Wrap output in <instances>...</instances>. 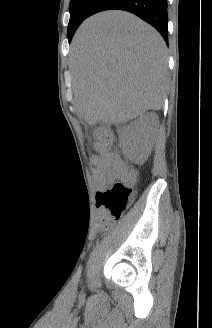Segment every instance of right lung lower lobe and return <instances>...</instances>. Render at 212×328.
<instances>
[{"label": "right lung lower lobe", "mask_w": 212, "mask_h": 328, "mask_svg": "<svg viewBox=\"0 0 212 328\" xmlns=\"http://www.w3.org/2000/svg\"><path fill=\"white\" fill-rule=\"evenodd\" d=\"M105 10H124L152 25L168 44L167 0H95L87 18Z\"/></svg>", "instance_id": "1"}]
</instances>
